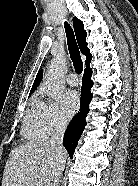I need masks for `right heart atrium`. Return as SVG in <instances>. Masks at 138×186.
<instances>
[{
  "instance_id": "right-heart-atrium-1",
  "label": "right heart atrium",
  "mask_w": 138,
  "mask_h": 186,
  "mask_svg": "<svg viewBox=\"0 0 138 186\" xmlns=\"http://www.w3.org/2000/svg\"><path fill=\"white\" fill-rule=\"evenodd\" d=\"M43 124L49 135L57 133L65 128L66 120L61 116L56 102L45 104Z\"/></svg>"
}]
</instances>
